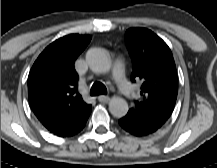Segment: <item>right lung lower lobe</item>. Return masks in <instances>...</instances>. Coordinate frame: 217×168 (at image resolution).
Returning <instances> with one entry per match:
<instances>
[{
	"label": "right lung lower lobe",
	"mask_w": 217,
	"mask_h": 168,
	"mask_svg": "<svg viewBox=\"0 0 217 168\" xmlns=\"http://www.w3.org/2000/svg\"><path fill=\"white\" fill-rule=\"evenodd\" d=\"M84 126L82 128H80L78 131H76L75 133L71 134L70 136H73V135L77 134L78 132H80L84 128Z\"/></svg>",
	"instance_id": "right-lung-lower-lobe-1"
}]
</instances>
